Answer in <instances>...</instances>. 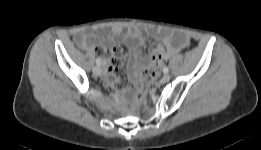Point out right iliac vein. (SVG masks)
<instances>
[{"instance_id": "right-iliac-vein-1", "label": "right iliac vein", "mask_w": 261, "mask_h": 150, "mask_svg": "<svg viewBox=\"0 0 261 150\" xmlns=\"http://www.w3.org/2000/svg\"><path fill=\"white\" fill-rule=\"evenodd\" d=\"M93 74L96 76H100L102 74V69L100 66H95L92 70Z\"/></svg>"}]
</instances>
